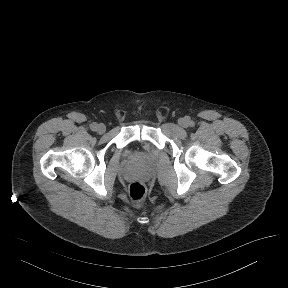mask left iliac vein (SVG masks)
<instances>
[{"mask_svg": "<svg viewBox=\"0 0 288 288\" xmlns=\"http://www.w3.org/2000/svg\"><path fill=\"white\" fill-rule=\"evenodd\" d=\"M178 124L181 126V127H188L189 126V121L187 118H180L178 119Z\"/></svg>", "mask_w": 288, "mask_h": 288, "instance_id": "4c4485c4", "label": "left iliac vein"}]
</instances>
